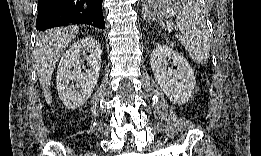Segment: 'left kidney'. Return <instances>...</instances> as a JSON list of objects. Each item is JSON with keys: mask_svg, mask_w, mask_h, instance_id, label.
<instances>
[{"mask_svg": "<svg viewBox=\"0 0 261 156\" xmlns=\"http://www.w3.org/2000/svg\"><path fill=\"white\" fill-rule=\"evenodd\" d=\"M172 60L173 67H169ZM150 64L160 88L174 103L183 104L191 98L196 85L193 70L185 57L168 46H156Z\"/></svg>", "mask_w": 261, "mask_h": 156, "instance_id": "left-kidney-1", "label": "left kidney"}]
</instances>
